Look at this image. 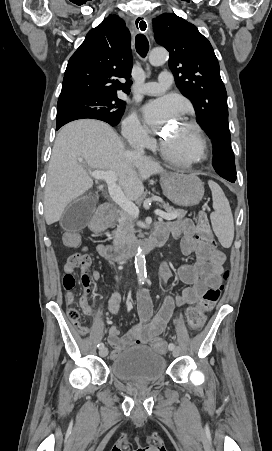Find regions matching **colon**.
<instances>
[{
	"mask_svg": "<svg viewBox=\"0 0 272 451\" xmlns=\"http://www.w3.org/2000/svg\"><path fill=\"white\" fill-rule=\"evenodd\" d=\"M199 238L202 243L206 245V247L210 248L211 255L214 258H218L221 255V252L218 249H215L216 243L214 241L212 232L209 228V221L207 215L204 211L199 214ZM62 237L65 239L67 250H76L77 248V232L76 230H63ZM91 264L90 256L86 253L79 252L73 253L69 255L66 268L69 273L75 269H88ZM227 274L225 275V278ZM61 286L62 289H77L78 283L77 280H74L73 274H62L61 275ZM224 290V285H221L218 288H210L208 289L202 296L201 303L198 307H190L187 309L186 318L192 330H198L203 322H204V312L211 310L219 301L222 292ZM88 311V308L84 309ZM69 318L75 324H77V320L79 318V312L76 309H71L68 312ZM81 332H86L85 328H79ZM154 351H162L166 353L170 351L171 344L170 342H154L153 344Z\"/></svg>",
	"mask_w": 272,
	"mask_h": 451,
	"instance_id": "1",
	"label": "colon"
}]
</instances>
